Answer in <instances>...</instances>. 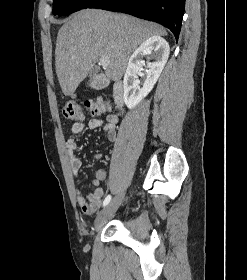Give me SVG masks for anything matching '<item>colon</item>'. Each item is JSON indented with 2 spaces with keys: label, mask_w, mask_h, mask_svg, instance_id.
<instances>
[{
  "label": "colon",
  "mask_w": 247,
  "mask_h": 280,
  "mask_svg": "<svg viewBox=\"0 0 247 280\" xmlns=\"http://www.w3.org/2000/svg\"><path fill=\"white\" fill-rule=\"evenodd\" d=\"M84 108L91 114H100L107 111L109 106L102 100H87L84 102ZM64 116L70 120H81L84 116L81 105L75 101L68 102L64 108Z\"/></svg>",
  "instance_id": "5ec220e1"
}]
</instances>
